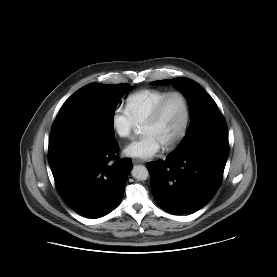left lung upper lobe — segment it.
I'll return each mask as SVG.
<instances>
[{
	"label": "left lung upper lobe",
	"instance_id": "left-lung-upper-lobe-1",
	"mask_svg": "<svg viewBox=\"0 0 277 277\" xmlns=\"http://www.w3.org/2000/svg\"><path fill=\"white\" fill-rule=\"evenodd\" d=\"M169 81L161 80L153 83L166 84ZM171 83L183 91L189 99L191 107V123L185 137L175 149L177 151L201 131L213 126L223 125L225 121L215 101L197 82L189 78H175Z\"/></svg>",
	"mask_w": 277,
	"mask_h": 277
}]
</instances>
